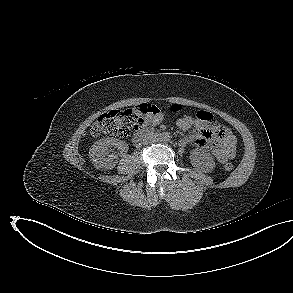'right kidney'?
I'll return each instance as SVG.
<instances>
[{
    "label": "right kidney",
    "mask_w": 293,
    "mask_h": 293,
    "mask_svg": "<svg viewBox=\"0 0 293 293\" xmlns=\"http://www.w3.org/2000/svg\"><path fill=\"white\" fill-rule=\"evenodd\" d=\"M112 147H117L121 152L128 149L125 142L116 138L100 139L92 145L89 150V157L97 169L109 170L115 167L117 156L113 153Z\"/></svg>",
    "instance_id": "right-kidney-1"
}]
</instances>
